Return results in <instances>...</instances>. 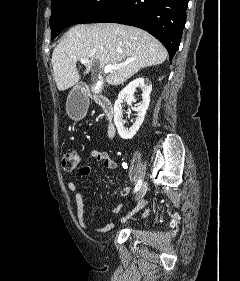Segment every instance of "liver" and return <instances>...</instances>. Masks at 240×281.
<instances>
[{
	"mask_svg": "<svg viewBox=\"0 0 240 281\" xmlns=\"http://www.w3.org/2000/svg\"><path fill=\"white\" fill-rule=\"evenodd\" d=\"M167 55L165 47L142 29L115 23L81 24L72 27L53 50V75L59 91L76 85L81 79L76 63L84 57L88 59L84 75L95 60L100 66H119L106 78L116 86L140 69L163 63Z\"/></svg>",
	"mask_w": 240,
	"mask_h": 281,
	"instance_id": "6515ba94",
	"label": "liver"
}]
</instances>
